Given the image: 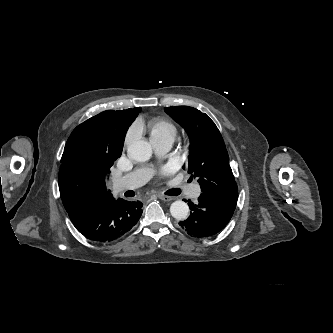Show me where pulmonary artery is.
Here are the masks:
<instances>
[{
    "label": "pulmonary artery",
    "instance_id": "e3ab8cb5",
    "mask_svg": "<svg viewBox=\"0 0 333 333\" xmlns=\"http://www.w3.org/2000/svg\"><path fill=\"white\" fill-rule=\"evenodd\" d=\"M154 151L158 156L166 154L172 147L173 139L171 138H158L151 139ZM152 176V169L149 167H140L134 171L117 178L113 181V189L115 192H123L126 190L135 189L145 184ZM194 194L197 196L200 193L199 186L192 187Z\"/></svg>",
    "mask_w": 333,
    "mask_h": 333
}]
</instances>
